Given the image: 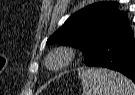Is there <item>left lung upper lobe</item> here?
Listing matches in <instances>:
<instances>
[{
  "instance_id": "1",
  "label": "left lung upper lobe",
  "mask_w": 135,
  "mask_h": 95,
  "mask_svg": "<svg viewBox=\"0 0 135 95\" xmlns=\"http://www.w3.org/2000/svg\"><path fill=\"white\" fill-rule=\"evenodd\" d=\"M117 6L115 2H98L77 11L49 37L47 44L79 48L87 60L106 36L129 27L127 17Z\"/></svg>"
}]
</instances>
